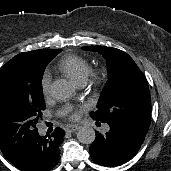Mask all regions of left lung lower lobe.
I'll use <instances>...</instances> for the list:
<instances>
[{"mask_svg":"<svg viewBox=\"0 0 171 171\" xmlns=\"http://www.w3.org/2000/svg\"><path fill=\"white\" fill-rule=\"evenodd\" d=\"M106 134L96 131L90 146L91 158L106 167L120 166L132 159L141 147L148 129L126 122L109 121Z\"/></svg>","mask_w":171,"mask_h":171,"instance_id":"obj_1","label":"left lung lower lobe"}]
</instances>
